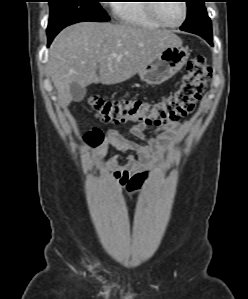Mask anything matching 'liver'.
I'll return each mask as SVG.
<instances>
[{
  "label": "liver",
  "mask_w": 248,
  "mask_h": 299,
  "mask_svg": "<svg viewBox=\"0 0 248 299\" xmlns=\"http://www.w3.org/2000/svg\"><path fill=\"white\" fill-rule=\"evenodd\" d=\"M181 44L172 31L128 24L81 22L65 28L51 44L47 65L60 106L71 103L72 83L86 87L126 81L161 51Z\"/></svg>",
  "instance_id": "liver-1"
}]
</instances>
